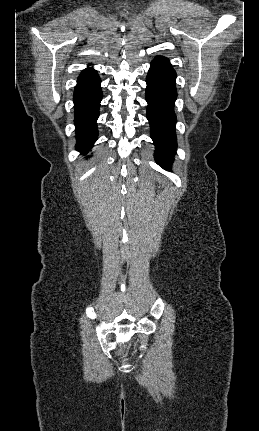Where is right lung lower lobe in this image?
I'll use <instances>...</instances> for the list:
<instances>
[{
	"instance_id": "1",
	"label": "right lung lower lobe",
	"mask_w": 259,
	"mask_h": 431,
	"mask_svg": "<svg viewBox=\"0 0 259 431\" xmlns=\"http://www.w3.org/2000/svg\"><path fill=\"white\" fill-rule=\"evenodd\" d=\"M101 80L97 72L87 68L78 77L74 91L76 149L87 154L97 140L96 120L102 99Z\"/></svg>"
}]
</instances>
